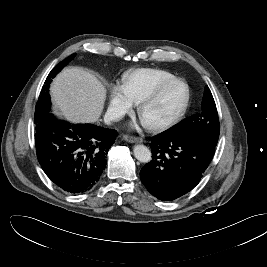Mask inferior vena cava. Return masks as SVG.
Masks as SVG:
<instances>
[{
	"label": "inferior vena cava",
	"instance_id": "obj_1",
	"mask_svg": "<svg viewBox=\"0 0 267 267\" xmlns=\"http://www.w3.org/2000/svg\"><path fill=\"white\" fill-rule=\"evenodd\" d=\"M122 118V114L118 111H108L104 116V122L110 124L112 121H118Z\"/></svg>",
	"mask_w": 267,
	"mask_h": 267
}]
</instances>
